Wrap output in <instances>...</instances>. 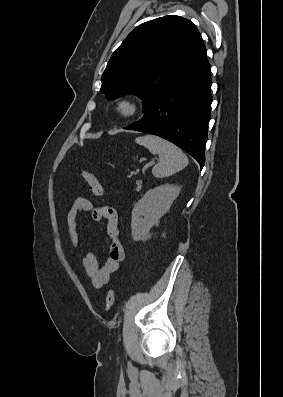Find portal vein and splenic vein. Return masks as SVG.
<instances>
[{
  "mask_svg": "<svg viewBox=\"0 0 283 397\" xmlns=\"http://www.w3.org/2000/svg\"><path fill=\"white\" fill-rule=\"evenodd\" d=\"M154 164H155V162H154V161H152V162H150V163L146 164V165L144 166V168L142 169V173H144V172H145V170H146L147 168H149L150 166H152V165H154Z\"/></svg>",
  "mask_w": 283,
  "mask_h": 397,
  "instance_id": "obj_1",
  "label": "portal vein and splenic vein"
}]
</instances>
